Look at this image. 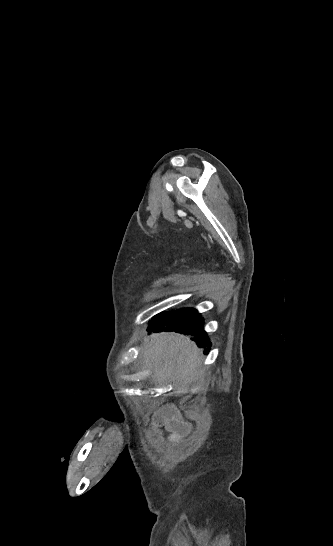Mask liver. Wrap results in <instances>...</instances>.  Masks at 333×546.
<instances>
[{
    "label": "liver",
    "mask_w": 333,
    "mask_h": 546,
    "mask_svg": "<svg viewBox=\"0 0 333 546\" xmlns=\"http://www.w3.org/2000/svg\"><path fill=\"white\" fill-rule=\"evenodd\" d=\"M143 364L153 369V378L160 384L176 382L186 387L194 381L202 358L196 344L176 333L151 334L144 338Z\"/></svg>",
    "instance_id": "1"
}]
</instances>
